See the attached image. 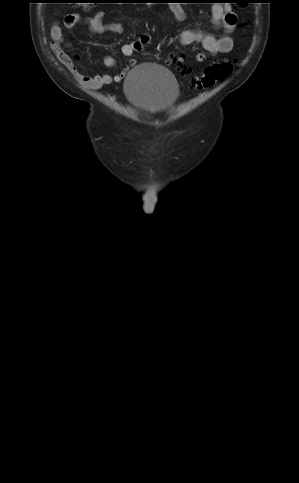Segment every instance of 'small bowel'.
<instances>
[{"mask_svg": "<svg viewBox=\"0 0 299 483\" xmlns=\"http://www.w3.org/2000/svg\"><path fill=\"white\" fill-rule=\"evenodd\" d=\"M170 10L177 21L185 20V12L181 6L173 4L170 6ZM105 14L101 11L97 12L93 17L85 18L79 14L72 13L67 14L64 17V25L68 29H73L78 23L85 22L89 25L90 30L94 34L114 33L121 34L124 31V27L121 23L114 22L105 24L103 22ZM212 20L215 26L222 27L224 34L220 37H215L211 34L199 32L195 30L186 29L179 35V40L184 45H190L199 43L202 45L205 51L210 54H227L233 50L234 41L230 36L236 28L237 18L236 15L228 10L225 4H214L212 7ZM51 36V48L54 51L58 60L71 72L75 73L76 79L84 86L91 89H99L104 85H108L112 82H121L127 70L136 64V60L131 56L141 51L145 46L151 43L152 37L150 34L142 35L138 40L124 43L121 46V52L124 56L129 57L127 65L119 73L111 75L103 72L96 75H82L76 72V68L73 60L69 54L63 49V46H67L65 43L64 32L58 24H54L50 29ZM196 61L203 62L206 59V55L203 53H197ZM103 64L107 67H113L116 65V59L112 56H106L103 58Z\"/></svg>", "mask_w": 299, "mask_h": 483, "instance_id": "obj_1", "label": "small bowel"}]
</instances>
